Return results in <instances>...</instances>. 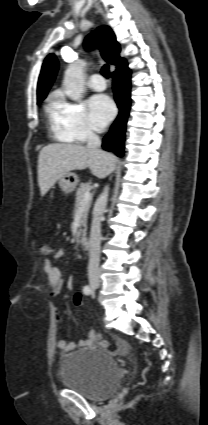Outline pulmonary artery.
<instances>
[{"label":"pulmonary artery","instance_id":"e3ab8cb5","mask_svg":"<svg viewBox=\"0 0 208 425\" xmlns=\"http://www.w3.org/2000/svg\"><path fill=\"white\" fill-rule=\"evenodd\" d=\"M88 85L95 91H103L106 88V82L101 74H92L89 78Z\"/></svg>","mask_w":208,"mask_h":425}]
</instances>
